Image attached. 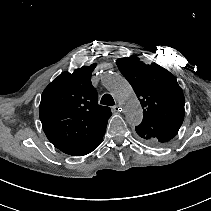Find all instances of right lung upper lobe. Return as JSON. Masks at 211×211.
I'll return each instance as SVG.
<instances>
[{
	"label": "right lung upper lobe",
	"instance_id": "1",
	"mask_svg": "<svg viewBox=\"0 0 211 211\" xmlns=\"http://www.w3.org/2000/svg\"><path fill=\"white\" fill-rule=\"evenodd\" d=\"M95 66L62 73L42 93L40 120L47 138L58 149L96 137L106 129L112 113L98 104L91 83Z\"/></svg>",
	"mask_w": 211,
	"mask_h": 211
}]
</instances>
